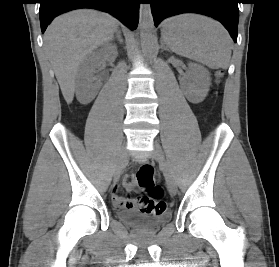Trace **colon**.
Wrapping results in <instances>:
<instances>
[{"label":"colon","mask_w":279,"mask_h":267,"mask_svg":"<svg viewBox=\"0 0 279 267\" xmlns=\"http://www.w3.org/2000/svg\"><path fill=\"white\" fill-rule=\"evenodd\" d=\"M216 76L220 78L222 72L218 71ZM135 179L138 186L145 193L136 199V207L138 210L150 215L164 214L168 206L166 202L158 200L162 195V190L155 185L153 166L148 163L141 165L136 173Z\"/></svg>","instance_id":"1"}]
</instances>
